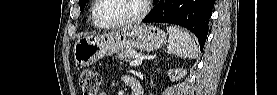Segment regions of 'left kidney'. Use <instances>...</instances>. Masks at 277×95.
<instances>
[{
  "label": "left kidney",
  "mask_w": 277,
  "mask_h": 95,
  "mask_svg": "<svg viewBox=\"0 0 277 95\" xmlns=\"http://www.w3.org/2000/svg\"><path fill=\"white\" fill-rule=\"evenodd\" d=\"M184 73L185 71L181 69L170 70L168 72V76L170 77L171 81H175V80H178Z\"/></svg>",
  "instance_id": "obj_1"
}]
</instances>
